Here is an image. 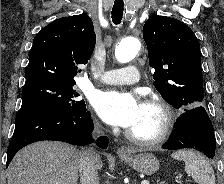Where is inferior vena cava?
I'll return each mask as SVG.
<instances>
[{"label": "inferior vena cava", "mask_w": 224, "mask_h": 184, "mask_svg": "<svg viewBox=\"0 0 224 184\" xmlns=\"http://www.w3.org/2000/svg\"><path fill=\"white\" fill-rule=\"evenodd\" d=\"M98 158L99 156L92 146L85 147L80 151L79 173L81 184H99L96 165Z\"/></svg>", "instance_id": "602c4592"}]
</instances>
